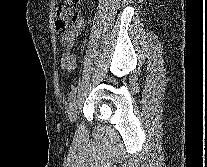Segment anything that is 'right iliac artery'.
I'll use <instances>...</instances> for the list:
<instances>
[{
	"instance_id": "obj_1",
	"label": "right iliac artery",
	"mask_w": 207,
	"mask_h": 167,
	"mask_svg": "<svg viewBox=\"0 0 207 167\" xmlns=\"http://www.w3.org/2000/svg\"><path fill=\"white\" fill-rule=\"evenodd\" d=\"M77 88L74 87L69 95V101L70 103L75 99L76 97Z\"/></svg>"
}]
</instances>
